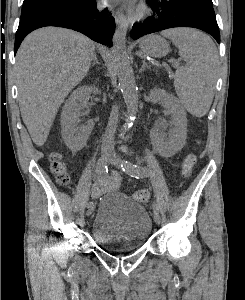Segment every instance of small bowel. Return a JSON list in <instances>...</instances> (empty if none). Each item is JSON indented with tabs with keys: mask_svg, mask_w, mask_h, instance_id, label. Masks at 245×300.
Masks as SVG:
<instances>
[{
	"mask_svg": "<svg viewBox=\"0 0 245 300\" xmlns=\"http://www.w3.org/2000/svg\"><path fill=\"white\" fill-rule=\"evenodd\" d=\"M120 181L121 176L117 172H113L111 176L103 180L98 179L90 187L92 197L96 198L108 192L116 191L119 187ZM74 193H78V190H75Z\"/></svg>",
	"mask_w": 245,
	"mask_h": 300,
	"instance_id": "small-bowel-1",
	"label": "small bowel"
}]
</instances>
